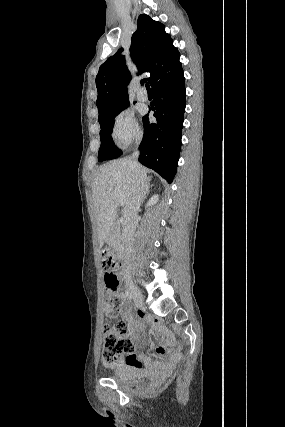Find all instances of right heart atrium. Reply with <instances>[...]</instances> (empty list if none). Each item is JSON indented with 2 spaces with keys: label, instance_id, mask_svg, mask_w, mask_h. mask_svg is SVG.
Returning a JSON list of instances; mask_svg holds the SVG:
<instances>
[{
  "label": "right heart atrium",
  "instance_id": "1",
  "mask_svg": "<svg viewBox=\"0 0 285 427\" xmlns=\"http://www.w3.org/2000/svg\"><path fill=\"white\" fill-rule=\"evenodd\" d=\"M140 137V129L133 113L129 110L121 111L114 119L112 138L116 144L126 148Z\"/></svg>",
  "mask_w": 285,
  "mask_h": 427
}]
</instances>
